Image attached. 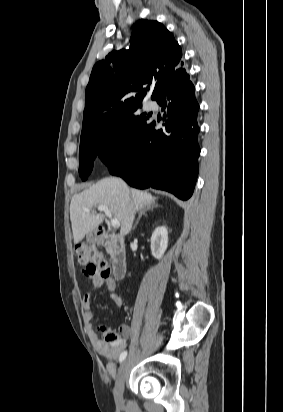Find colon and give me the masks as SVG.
I'll return each instance as SVG.
<instances>
[{
	"instance_id": "5ec220e1",
	"label": "colon",
	"mask_w": 283,
	"mask_h": 412,
	"mask_svg": "<svg viewBox=\"0 0 283 412\" xmlns=\"http://www.w3.org/2000/svg\"><path fill=\"white\" fill-rule=\"evenodd\" d=\"M76 258L79 264L84 266V273L87 275H97L108 278L111 273V265L104 258L101 250L93 245H79L75 249ZM103 341L110 347L121 344L123 338L116 331L100 327Z\"/></svg>"
}]
</instances>
